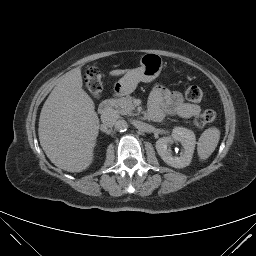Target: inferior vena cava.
<instances>
[{
    "label": "inferior vena cava",
    "instance_id": "602c4592",
    "mask_svg": "<svg viewBox=\"0 0 256 256\" xmlns=\"http://www.w3.org/2000/svg\"><path fill=\"white\" fill-rule=\"evenodd\" d=\"M119 114L114 109H108L101 115V120L103 124L107 127H112L117 124L119 121Z\"/></svg>",
    "mask_w": 256,
    "mask_h": 256
}]
</instances>
